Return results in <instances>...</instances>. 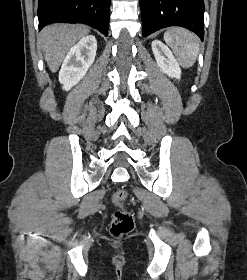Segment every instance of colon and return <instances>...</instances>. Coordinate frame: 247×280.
I'll list each match as a JSON object with an SVG mask.
<instances>
[{"mask_svg": "<svg viewBox=\"0 0 247 280\" xmlns=\"http://www.w3.org/2000/svg\"><path fill=\"white\" fill-rule=\"evenodd\" d=\"M127 198L128 192L125 189H118L113 194V202L117 210L113 214L110 232L116 237L128 234L134 228L133 214L124 206Z\"/></svg>", "mask_w": 247, "mask_h": 280, "instance_id": "obj_1", "label": "colon"}]
</instances>
